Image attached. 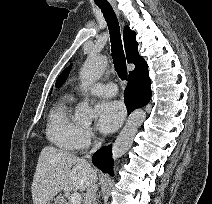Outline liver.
I'll use <instances>...</instances> for the list:
<instances>
[{
    "instance_id": "liver-1",
    "label": "liver",
    "mask_w": 212,
    "mask_h": 204,
    "mask_svg": "<svg viewBox=\"0 0 212 204\" xmlns=\"http://www.w3.org/2000/svg\"><path fill=\"white\" fill-rule=\"evenodd\" d=\"M92 170L82 158L45 146L39 155L31 186L33 204H47L62 190L85 191Z\"/></svg>"
}]
</instances>
